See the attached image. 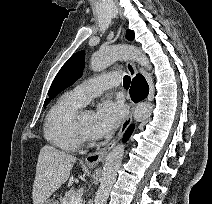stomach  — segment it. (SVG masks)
I'll return each mask as SVG.
<instances>
[{
  "mask_svg": "<svg viewBox=\"0 0 212 204\" xmlns=\"http://www.w3.org/2000/svg\"><path fill=\"white\" fill-rule=\"evenodd\" d=\"M44 204H59V202L55 199H47Z\"/></svg>",
  "mask_w": 212,
  "mask_h": 204,
  "instance_id": "1",
  "label": "stomach"
}]
</instances>
